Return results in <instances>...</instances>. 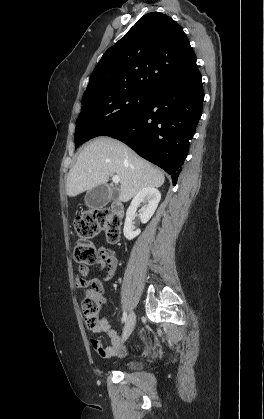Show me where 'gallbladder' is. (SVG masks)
I'll return each mask as SVG.
<instances>
[{
	"label": "gallbladder",
	"mask_w": 264,
	"mask_h": 419,
	"mask_svg": "<svg viewBox=\"0 0 264 419\" xmlns=\"http://www.w3.org/2000/svg\"><path fill=\"white\" fill-rule=\"evenodd\" d=\"M113 197L118 196V191L114 190L112 192ZM111 199V193L109 187L105 184L99 185L97 187L89 190L85 195V204L90 208H102L105 206Z\"/></svg>",
	"instance_id": "gallbladder-1"
}]
</instances>
